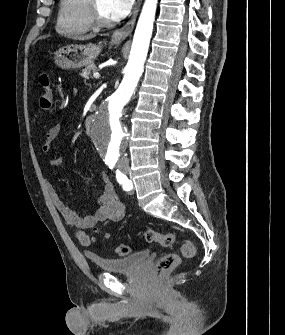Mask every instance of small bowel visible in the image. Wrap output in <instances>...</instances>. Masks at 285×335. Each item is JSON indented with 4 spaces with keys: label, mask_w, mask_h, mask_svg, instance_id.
I'll use <instances>...</instances> for the list:
<instances>
[{
    "label": "small bowel",
    "mask_w": 285,
    "mask_h": 335,
    "mask_svg": "<svg viewBox=\"0 0 285 335\" xmlns=\"http://www.w3.org/2000/svg\"><path fill=\"white\" fill-rule=\"evenodd\" d=\"M61 125L52 126L45 135L43 143L44 152H50L53 143L61 133ZM62 164L59 157L52 158L48 165L51 169H57ZM101 190L95 203V210L85 216H80L77 212L65 206L57 191L48 183V191L52 202L63 218V220L73 229L77 239L83 246H91L93 238L86 230L94 228L100 222H119L122 221L127 213V206L123 203L115 192L106 174L100 175Z\"/></svg>",
    "instance_id": "obj_1"
}]
</instances>
